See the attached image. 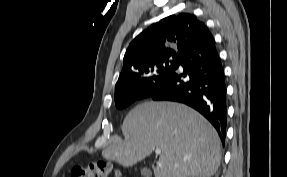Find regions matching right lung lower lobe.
Listing matches in <instances>:
<instances>
[{
  "mask_svg": "<svg viewBox=\"0 0 287 177\" xmlns=\"http://www.w3.org/2000/svg\"><path fill=\"white\" fill-rule=\"evenodd\" d=\"M177 67L145 90L139 99L150 98L184 103L206 117L216 128L222 143L226 137V84L224 70L207 29L189 43ZM181 66L182 73L177 69Z\"/></svg>",
  "mask_w": 287,
  "mask_h": 177,
  "instance_id": "1",
  "label": "right lung lower lobe"
}]
</instances>
